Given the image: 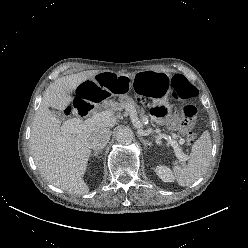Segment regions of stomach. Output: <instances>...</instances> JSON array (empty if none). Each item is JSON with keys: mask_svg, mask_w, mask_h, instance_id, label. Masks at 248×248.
Wrapping results in <instances>:
<instances>
[{"mask_svg": "<svg viewBox=\"0 0 248 248\" xmlns=\"http://www.w3.org/2000/svg\"><path fill=\"white\" fill-rule=\"evenodd\" d=\"M170 75L162 71H138L134 74L102 71L90 81L75 89L74 97L78 103L88 104L103 100L108 96L125 98L133 85L152 99L149 107L151 119L165 125L172 113L167 97L170 92Z\"/></svg>", "mask_w": 248, "mask_h": 248, "instance_id": "stomach-1", "label": "stomach"}]
</instances>
